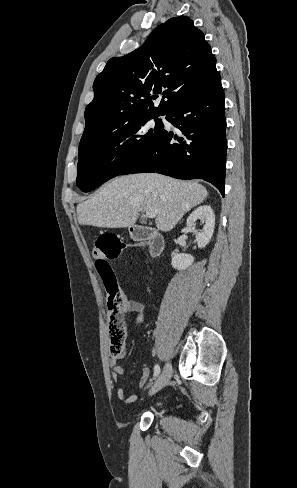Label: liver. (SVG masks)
Wrapping results in <instances>:
<instances>
[{
  "instance_id": "6515ba94",
  "label": "liver",
  "mask_w": 297,
  "mask_h": 488,
  "mask_svg": "<svg viewBox=\"0 0 297 488\" xmlns=\"http://www.w3.org/2000/svg\"><path fill=\"white\" fill-rule=\"evenodd\" d=\"M207 195L203 185L157 173L120 176L78 204L77 217L81 225L124 228L134 225L140 212L152 208L157 212V228L169 231Z\"/></svg>"
}]
</instances>
